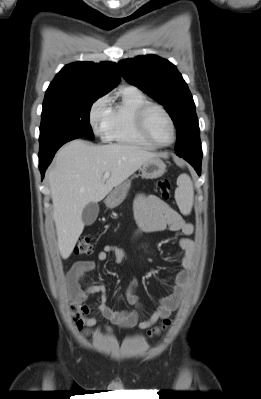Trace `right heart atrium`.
Returning a JSON list of instances; mask_svg holds the SVG:
<instances>
[{"label":"right heart atrium","instance_id":"d8ad5b80","mask_svg":"<svg viewBox=\"0 0 261 399\" xmlns=\"http://www.w3.org/2000/svg\"><path fill=\"white\" fill-rule=\"evenodd\" d=\"M110 119V98L105 95L97 99L90 108L89 122L94 134L106 138Z\"/></svg>","mask_w":261,"mask_h":399}]
</instances>
